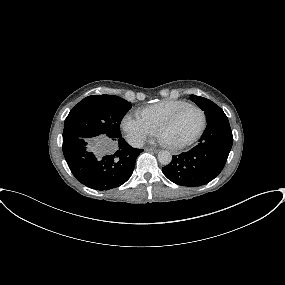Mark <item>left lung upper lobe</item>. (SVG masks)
Returning a JSON list of instances; mask_svg holds the SVG:
<instances>
[{"label": "left lung upper lobe", "instance_id": "obj_1", "mask_svg": "<svg viewBox=\"0 0 285 285\" xmlns=\"http://www.w3.org/2000/svg\"><path fill=\"white\" fill-rule=\"evenodd\" d=\"M191 100L205 112L207 122L214 119L227 118L223 110L212 101L196 95H191Z\"/></svg>", "mask_w": 285, "mask_h": 285}]
</instances>
